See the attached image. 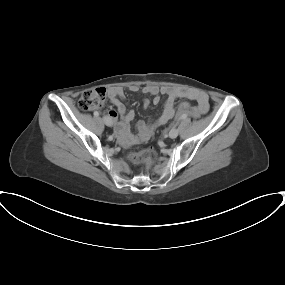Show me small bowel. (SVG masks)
I'll return each instance as SVG.
<instances>
[{"mask_svg":"<svg viewBox=\"0 0 285 285\" xmlns=\"http://www.w3.org/2000/svg\"><path fill=\"white\" fill-rule=\"evenodd\" d=\"M138 89L139 88L135 85L130 87V90L132 92H137ZM142 91L143 93L152 95L154 97L152 101L154 104L159 103L160 93L166 95V102L164 105V109L161 115L157 118V120L153 123L150 121H139L136 125L137 134L133 135L131 133L130 124L134 119L135 114L132 110H128L123 102L126 99L124 90L121 87H110L107 89L109 101L116 108V110H109L107 114L110 119L116 122L115 133L120 142L125 146H131L139 142L148 140L157 127L166 124L170 119H172L175 114V101L179 97H185L189 100L195 101L202 113H206L209 109L208 97L205 93L202 92L183 93L168 87L159 88L156 85L144 86ZM149 104L150 101L148 99H145L143 102L144 107H148ZM188 107L189 102L183 101L179 104L178 109L184 110ZM118 117H120L119 121H117Z\"/></svg>","mask_w":285,"mask_h":285,"instance_id":"obj_1","label":"small bowel"}]
</instances>
